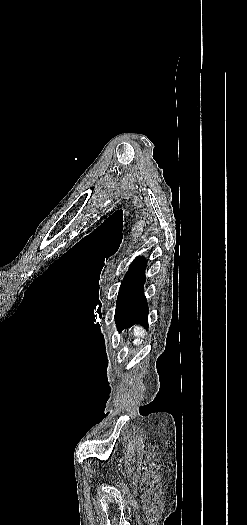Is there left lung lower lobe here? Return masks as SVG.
Instances as JSON below:
<instances>
[{
	"mask_svg": "<svg viewBox=\"0 0 247 525\" xmlns=\"http://www.w3.org/2000/svg\"><path fill=\"white\" fill-rule=\"evenodd\" d=\"M145 274H143L118 300L115 321L118 328L134 324L148 326V308L144 296Z\"/></svg>",
	"mask_w": 247,
	"mask_h": 525,
	"instance_id": "1",
	"label": "left lung lower lobe"
}]
</instances>
